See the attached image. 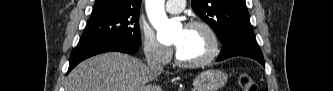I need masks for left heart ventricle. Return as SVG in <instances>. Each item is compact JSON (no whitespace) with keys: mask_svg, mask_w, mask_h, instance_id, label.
<instances>
[{"mask_svg":"<svg viewBox=\"0 0 333 91\" xmlns=\"http://www.w3.org/2000/svg\"><path fill=\"white\" fill-rule=\"evenodd\" d=\"M180 57L196 61L208 55L211 47L207 33L200 27L180 29L174 39Z\"/></svg>","mask_w":333,"mask_h":91,"instance_id":"obj_1","label":"left heart ventricle"}]
</instances>
